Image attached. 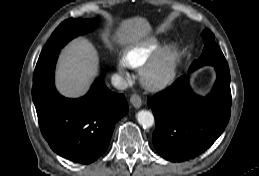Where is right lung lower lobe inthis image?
I'll return each instance as SVG.
<instances>
[{
    "mask_svg": "<svg viewBox=\"0 0 259 176\" xmlns=\"http://www.w3.org/2000/svg\"><path fill=\"white\" fill-rule=\"evenodd\" d=\"M60 50L39 58L32 98L41 132L52 150L76 163L89 164L107 150L116 122L128 112L122 94L111 92L101 79L79 99L61 96L54 86Z\"/></svg>",
    "mask_w": 259,
    "mask_h": 176,
    "instance_id": "1",
    "label": "right lung lower lobe"
}]
</instances>
